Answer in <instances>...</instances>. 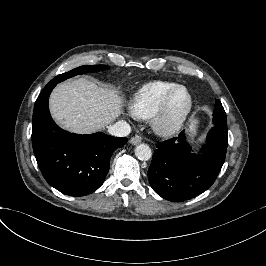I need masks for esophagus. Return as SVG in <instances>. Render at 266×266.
I'll return each mask as SVG.
<instances>
[{
	"label": "esophagus",
	"instance_id": "1",
	"mask_svg": "<svg viewBox=\"0 0 266 266\" xmlns=\"http://www.w3.org/2000/svg\"><path fill=\"white\" fill-rule=\"evenodd\" d=\"M129 142H130L132 145H136V144H138V143L141 142V138H140V137H137V136H135V137H131L130 140H129Z\"/></svg>",
	"mask_w": 266,
	"mask_h": 266
}]
</instances>
